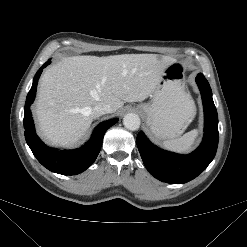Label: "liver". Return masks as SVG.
Listing matches in <instances>:
<instances>
[{
    "mask_svg": "<svg viewBox=\"0 0 247 247\" xmlns=\"http://www.w3.org/2000/svg\"><path fill=\"white\" fill-rule=\"evenodd\" d=\"M174 62L156 54L63 58L39 84L35 112L41 136L53 145H74L93 121V106L106 103L116 112L125 102L147 99Z\"/></svg>",
    "mask_w": 247,
    "mask_h": 247,
    "instance_id": "obj_1",
    "label": "liver"
}]
</instances>
